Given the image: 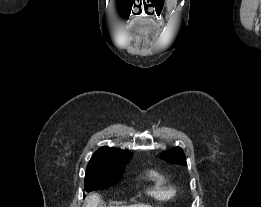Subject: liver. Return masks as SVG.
<instances>
[{
  "mask_svg": "<svg viewBox=\"0 0 261 207\" xmlns=\"http://www.w3.org/2000/svg\"><path fill=\"white\" fill-rule=\"evenodd\" d=\"M100 201L101 198L99 194L97 193L89 194L85 199L83 207H99ZM125 207H152V206L148 204H134Z\"/></svg>",
  "mask_w": 261,
  "mask_h": 207,
  "instance_id": "liver-1",
  "label": "liver"
}]
</instances>
